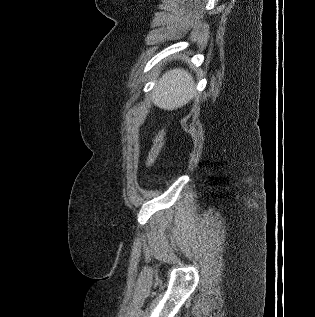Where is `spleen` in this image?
I'll use <instances>...</instances> for the list:
<instances>
[{
    "label": "spleen",
    "instance_id": "obj_1",
    "mask_svg": "<svg viewBox=\"0 0 315 317\" xmlns=\"http://www.w3.org/2000/svg\"><path fill=\"white\" fill-rule=\"evenodd\" d=\"M195 95V83L190 73L175 68L163 74L151 94L159 108L172 111L186 105Z\"/></svg>",
    "mask_w": 315,
    "mask_h": 317
}]
</instances>
